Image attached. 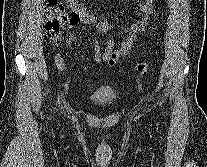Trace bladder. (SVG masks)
<instances>
[{
  "label": "bladder",
  "mask_w": 207,
  "mask_h": 167,
  "mask_svg": "<svg viewBox=\"0 0 207 167\" xmlns=\"http://www.w3.org/2000/svg\"><path fill=\"white\" fill-rule=\"evenodd\" d=\"M116 99V91L105 84L96 86L88 95V101L96 106L109 105Z\"/></svg>",
  "instance_id": "1"
}]
</instances>
